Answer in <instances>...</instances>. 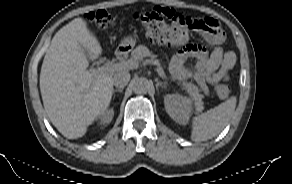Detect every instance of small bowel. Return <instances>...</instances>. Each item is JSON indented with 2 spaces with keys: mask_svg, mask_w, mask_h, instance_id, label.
<instances>
[{
  "mask_svg": "<svg viewBox=\"0 0 292 184\" xmlns=\"http://www.w3.org/2000/svg\"><path fill=\"white\" fill-rule=\"evenodd\" d=\"M203 24L194 28L213 46L208 55L206 49L199 45L188 44L179 49L171 59V72L178 78H193L203 93H209V85L227 80L230 70L236 63V55L224 51L222 44L225 34L218 21L213 17H199ZM194 59L193 65H187Z\"/></svg>",
  "mask_w": 292,
  "mask_h": 184,
  "instance_id": "1",
  "label": "small bowel"
}]
</instances>
